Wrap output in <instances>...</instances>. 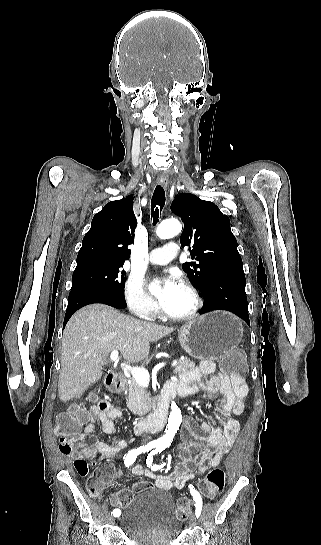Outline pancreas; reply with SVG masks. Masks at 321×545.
<instances>
[{
	"mask_svg": "<svg viewBox=\"0 0 321 545\" xmlns=\"http://www.w3.org/2000/svg\"><path fill=\"white\" fill-rule=\"evenodd\" d=\"M190 367H195V363L190 361V359H184V361H180V363L176 365L173 373L174 375H181V373L189 371ZM129 381L127 407L134 415H140V417H142V415H145V413H148L149 411L151 405L150 393H147L146 387L139 385L135 379H129Z\"/></svg>",
	"mask_w": 321,
	"mask_h": 545,
	"instance_id": "cf45deb5",
	"label": "pancreas"
}]
</instances>
